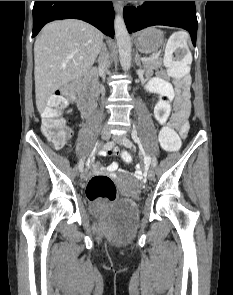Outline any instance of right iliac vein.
Segmentation results:
<instances>
[{"label": "right iliac vein", "mask_w": 233, "mask_h": 295, "mask_svg": "<svg viewBox=\"0 0 233 295\" xmlns=\"http://www.w3.org/2000/svg\"><path fill=\"white\" fill-rule=\"evenodd\" d=\"M101 138H102L103 140H108V139L110 138V132H109L108 129H104V130L102 131V133H101ZM87 172H88L87 168H85L84 170H82L81 178H83V179L86 178V176H87Z\"/></svg>", "instance_id": "63e3f726"}]
</instances>
